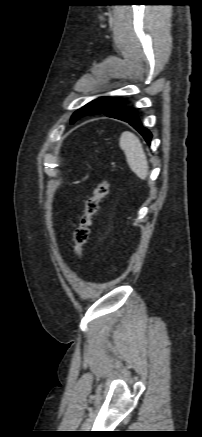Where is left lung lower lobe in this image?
<instances>
[{
    "instance_id": "left-lung-lower-lobe-1",
    "label": "left lung lower lobe",
    "mask_w": 202,
    "mask_h": 437,
    "mask_svg": "<svg viewBox=\"0 0 202 437\" xmlns=\"http://www.w3.org/2000/svg\"><path fill=\"white\" fill-rule=\"evenodd\" d=\"M108 117L116 118L125 122H128L134 129H136L145 139V141L150 144L152 134L148 129L143 127L139 117L137 116V111L134 108L122 106L107 114Z\"/></svg>"
}]
</instances>
